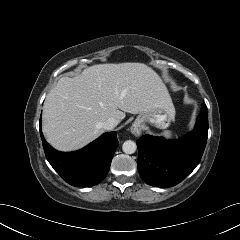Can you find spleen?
Returning <instances> with one entry per match:
<instances>
[{"instance_id": "obj_1", "label": "spleen", "mask_w": 240, "mask_h": 240, "mask_svg": "<svg viewBox=\"0 0 240 240\" xmlns=\"http://www.w3.org/2000/svg\"><path fill=\"white\" fill-rule=\"evenodd\" d=\"M162 136L167 138V139H173L175 134L173 131H170V130H165L162 132Z\"/></svg>"}]
</instances>
